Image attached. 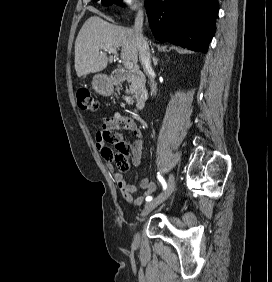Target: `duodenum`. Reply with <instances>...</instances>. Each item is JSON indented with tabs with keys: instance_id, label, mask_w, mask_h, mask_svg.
<instances>
[{
	"instance_id": "obj_1",
	"label": "duodenum",
	"mask_w": 272,
	"mask_h": 282,
	"mask_svg": "<svg viewBox=\"0 0 272 282\" xmlns=\"http://www.w3.org/2000/svg\"><path fill=\"white\" fill-rule=\"evenodd\" d=\"M123 81H133L137 86L136 98L133 106V114L140 112L148 99V92L145 88V75L139 69H132L128 71L113 72L109 81L105 84H120Z\"/></svg>"
}]
</instances>
